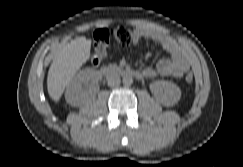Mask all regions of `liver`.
<instances>
[{
  "label": "liver",
  "instance_id": "obj_1",
  "mask_svg": "<svg viewBox=\"0 0 243 167\" xmlns=\"http://www.w3.org/2000/svg\"><path fill=\"white\" fill-rule=\"evenodd\" d=\"M91 40L78 37L56 52L47 76L49 96L58 103L65 87L90 58Z\"/></svg>",
  "mask_w": 243,
  "mask_h": 167
}]
</instances>
